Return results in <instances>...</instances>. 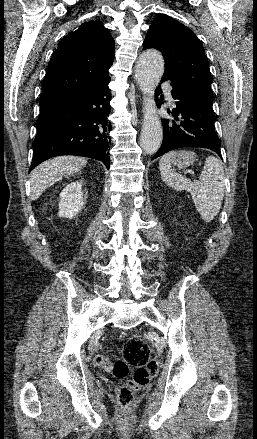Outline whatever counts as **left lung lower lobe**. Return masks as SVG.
<instances>
[{
    "label": "left lung lower lobe",
    "mask_w": 257,
    "mask_h": 439,
    "mask_svg": "<svg viewBox=\"0 0 257 439\" xmlns=\"http://www.w3.org/2000/svg\"><path fill=\"white\" fill-rule=\"evenodd\" d=\"M170 81L173 90V99L176 100V108L171 113L176 121L162 119L163 141L161 147L153 156L155 159L163 154L182 147H198L213 150L219 157L220 140L215 132L212 105L194 93L167 77H162L161 83ZM162 92L160 87L156 90V97ZM157 106L161 107V102L156 101Z\"/></svg>",
    "instance_id": "1"
}]
</instances>
